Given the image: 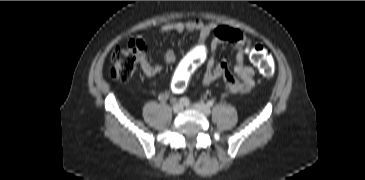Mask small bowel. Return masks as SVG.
I'll use <instances>...</instances> for the list:
<instances>
[{
    "instance_id": "obj_1",
    "label": "small bowel",
    "mask_w": 365,
    "mask_h": 180,
    "mask_svg": "<svg viewBox=\"0 0 365 180\" xmlns=\"http://www.w3.org/2000/svg\"><path fill=\"white\" fill-rule=\"evenodd\" d=\"M185 31L197 33V44L179 64L173 76L174 83L187 76L194 68L203 66L202 83L205 86L222 79L225 82L226 91L234 95H244L253 88L255 71L251 66L245 64L246 49L253 45V39L250 36L232 26L206 23L200 20L165 24L156 35ZM209 36H212L210 44L207 43ZM221 44H228L235 52L232 67L226 60L216 58L217 48ZM162 59L166 64H173L176 61V54L173 50H167L162 54ZM143 69L149 77L162 73L159 65L145 63ZM168 97L169 94L163 92L159 99L166 101Z\"/></svg>"
}]
</instances>
